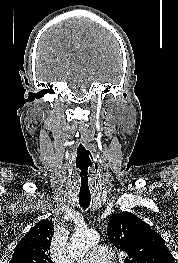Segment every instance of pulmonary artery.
<instances>
[{
  "mask_svg": "<svg viewBox=\"0 0 178 263\" xmlns=\"http://www.w3.org/2000/svg\"><path fill=\"white\" fill-rule=\"evenodd\" d=\"M114 258L111 249L97 246L91 249L78 263H110Z\"/></svg>",
  "mask_w": 178,
  "mask_h": 263,
  "instance_id": "pulmonary-artery-1",
  "label": "pulmonary artery"
}]
</instances>
